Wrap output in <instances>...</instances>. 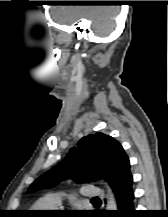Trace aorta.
<instances>
[{
	"label": "aorta",
	"instance_id": "1",
	"mask_svg": "<svg viewBox=\"0 0 168 217\" xmlns=\"http://www.w3.org/2000/svg\"><path fill=\"white\" fill-rule=\"evenodd\" d=\"M107 210H117L116 201L111 189L108 187V199H107Z\"/></svg>",
	"mask_w": 168,
	"mask_h": 217
}]
</instances>
